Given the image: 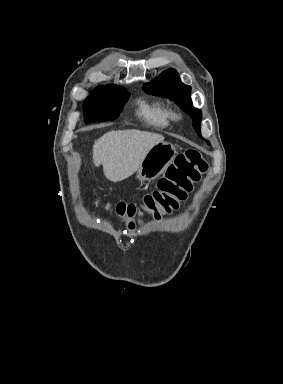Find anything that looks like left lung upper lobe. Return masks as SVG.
Returning a JSON list of instances; mask_svg holds the SVG:
<instances>
[{
  "label": "left lung upper lobe",
  "mask_w": 283,
  "mask_h": 384,
  "mask_svg": "<svg viewBox=\"0 0 283 384\" xmlns=\"http://www.w3.org/2000/svg\"><path fill=\"white\" fill-rule=\"evenodd\" d=\"M144 90L149 94L170 98L175 101L183 111L192 117L193 127L198 135L202 137L200 134L202 112L192 104L190 98L191 87L181 82L178 73L174 69H168L151 83L144 84Z\"/></svg>",
  "instance_id": "obj_1"
}]
</instances>
